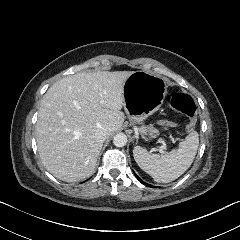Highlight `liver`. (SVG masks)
Here are the masks:
<instances>
[{
	"instance_id": "obj_1",
	"label": "liver",
	"mask_w": 240,
	"mask_h": 240,
	"mask_svg": "<svg viewBox=\"0 0 240 240\" xmlns=\"http://www.w3.org/2000/svg\"><path fill=\"white\" fill-rule=\"evenodd\" d=\"M133 71L81 72L59 79L44 94L36 122L42 164L56 178L78 182L92 174L103 142L124 122V85Z\"/></svg>"
}]
</instances>
